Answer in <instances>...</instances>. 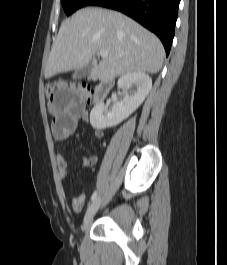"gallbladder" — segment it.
Here are the masks:
<instances>
[{
    "label": "gallbladder",
    "mask_w": 227,
    "mask_h": 265,
    "mask_svg": "<svg viewBox=\"0 0 227 265\" xmlns=\"http://www.w3.org/2000/svg\"><path fill=\"white\" fill-rule=\"evenodd\" d=\"M91 67L89 65H86L82 68H79L75 70V72L72 75V78L74 80H80L84 77H86L90 73Z\"/></svg>",
    "instance_id": "1"
}]
</instances>
